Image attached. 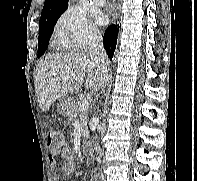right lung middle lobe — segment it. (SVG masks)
<instances>
[{"label": "right lung middle lobe", "instance_id": "obj_1", "mask_svg": "<svg viewBox=\"0 0 197 181\" xmlns=\"http://www.w3.org/2000/svg\"><path fill=\"white\" fill-rule=\"evenodd\" d=\"M61 13L50 14L40 17L39 20V36H38V58L41 57L49 44L54 25Z\"/></svg>", "mask_w": 197, "mask_h": 181}]
</instances>
